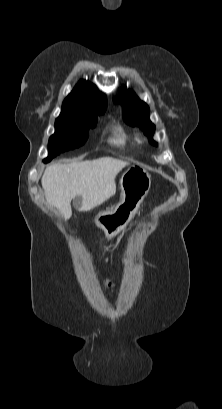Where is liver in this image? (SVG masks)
<instances>
[{"mask_svg":"<svg viewBox=\"0 0 222 409\" xmlns=\"http://www.w3.org/2000/svg\"><path fill=\"white\" fill-rule=\"evenodd\" d=\"M128 165V162L112 157L52 164L45 169L41 179L46 200L65 220L72 215L71 201L76 197L81 198L77 208L90 211L115 194V177Z\"/></svg>","mask_w":222,"mask_h":409,"instance_id":"liver-1","label":"liver"}]
</instances>
